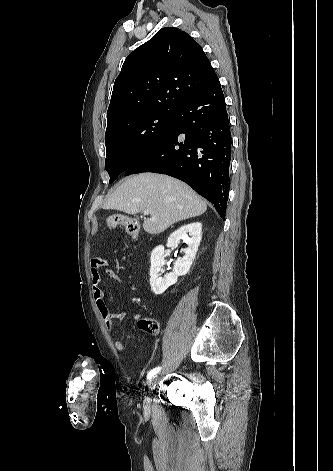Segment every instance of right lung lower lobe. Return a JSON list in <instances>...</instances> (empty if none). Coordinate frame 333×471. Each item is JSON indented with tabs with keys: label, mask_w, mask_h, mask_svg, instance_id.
<instances>
[{
	"label": "right lung lower lobe",
	"mask_w": 333,
	"mask_h": 471,
	"mask_svg": "<svg viewBox=\"0 0 333 471\" xmlns=\"http://www.w3.org/2000/svg\"><path fill=\"white\" fill-rule=\"evenodd\" d=\"M231 133L219 80L185 102L174 122L126 170L155 172L190 185L225 220L229 194Z\"/></svg>",
	"instance_id": "1"
}]
</instances>
